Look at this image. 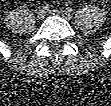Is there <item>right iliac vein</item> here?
Here are the masks:
<instances>
[{"label": "right iliac vein", "instance_id": "63e3f726", "mask_svg": "<svg viewBox=\"0 0 111 106\" xmlns=\"http://www.w3.org/2000/svg\"><path fill=\"white\" fill-rule=\"evenodd\" d=\"M37 18L39 19V20H42V19H44V17H45V12L43 11V10H39L38 12H37Z\"/></svg>", "mask_w": 111, "mask_h": 106}]
</instances>
